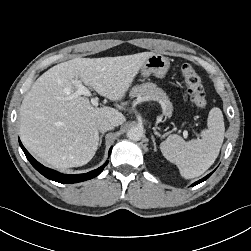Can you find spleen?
<instances>
[{
  "mask_svg": "<svg viewBox=\"0 0 251 251\" xmlns=\"http://www.w3.org/2000/svg\"><path fill=\"white\" fill-rule=\"evenodd\" d=\"M224 133L222 111L214 107L209 112L207 129L201 132V138L186 142L179 135H170L160 144V149L163 156L178 167L184 178L191 179L202 175L215 162Z\"/></svg>",
  "mask_w": 251,
  "mask_h": 251,
  "instance_id": "obj_1",
  "label": "spleen"
}]
</instances>
